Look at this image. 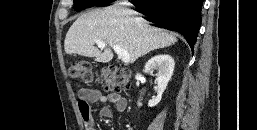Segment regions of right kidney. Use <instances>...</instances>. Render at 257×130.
I'll return each mask as SVG.
<instances>
[{"instance_id":"right-kidney-1","label":"right kidney","mask_w":257,"mask_h":130,"mask_svg":"<svg viewBox=\"0 0 257 130\" xmlns=\"http://www.w3.org/2000/svg\"><path fill=\"white\" fill-rule=\"evenodd\" d=\"M175 67L174 59L167 54H159L152 57L145 65V71L154 76V70L158 72L155 74V82L157 83V96L153 97L148 102L149 107L156 106L162 99V94L165 91L168 82L170 81ZM142 104L138 102V106Z\"/></svg>"}]
</instances>
